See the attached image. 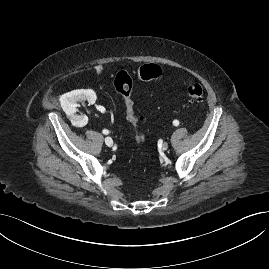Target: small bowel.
I'll use <instances>...</instances> for the list:
<instances>
[{
	"label": "small bowel",
	"instance_id": "small-bowel-1",
	"mask_svg": "<svg viewBox=\"0 0 269 269\" xmlns=\"http://www.w3.org/2000/svg\"><path fill=\"white\" fill-rule=\"evenodd\" d=\"M95 70H96V72H97L98 74H101L102 71H103V68H102L101 66H96V67H95Z\"/></svg>",
	"mask_w": 269,
	"mask_h": 269
}]
</instances>
